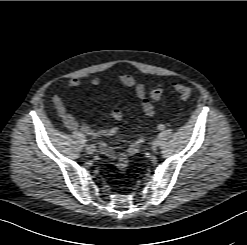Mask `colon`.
Wrapping results in <instances>:
<instances>
[{
    "label": "colon",
    "instance_id": "obj_1",
    "mask_svg": "<svg viewBox=\"0 0 247 245\" xmlns=\"http://www.w3.org/2000/svg\"><path fill=\"white\" fill-rule=\"evenodd\" d=\"M174 90L180 95L182 99H188L192 96L193 91L190 87L182 84H174ZM162 94L161 89L156 88L150 92L151 101H157L160 99ZM117 169L120 173L125 174L128 170L129 156L125 152H121L118 156Z\"/></svg>",
    "mask_w": 247,
    "mask_h": 245
}]
</instances>
